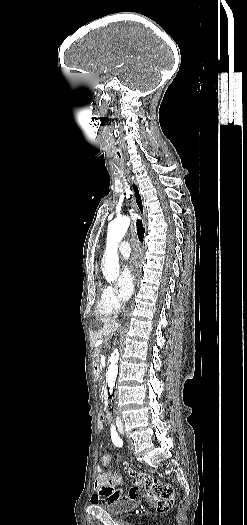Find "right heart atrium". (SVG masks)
<instances>
[{"label": "right heart atrium", "instance_id": "d8ad5b80", "mask_svg": "<svg viewBox=\"0 0 247 525\" xmlns=\"http://www.w3.org/2000/svg\"><path fill=\"white\" fill-rule=\"evenodd\" d=\"M114 295H115V289L112 287H107L106 290L104 291V297L107 299L106 303L109 304L110 306L118 307L119 304H116L111 301Z\"/></svg>", "mask_w": 247, "mask_h": 525}]
</instances>
